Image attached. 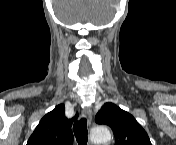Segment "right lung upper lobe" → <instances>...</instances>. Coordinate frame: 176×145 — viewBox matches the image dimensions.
I'll list each match as a JSON object with an SVG mask.
<instances>
[{
    "label": "right lung upper lobe",
    "instance_id": "right-lung-upper-lobe-1",
    "mask_svg": "<svg viewBox=\"0 0 176 145\" xmlns=\"http://www.w3.org/2000/svg\"><path fill=\"white\" fill-rule=\"evenodd\" d=\"M76 117L67 119L64 104L56 106L41 119L27 145H72L71 125Z\"/></svg>",
    "mask_w": 176,
    "mask_h": 145
}]
</instances>
